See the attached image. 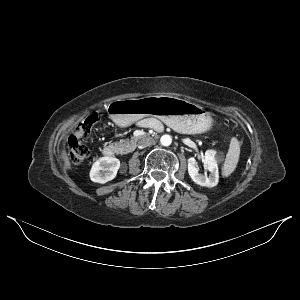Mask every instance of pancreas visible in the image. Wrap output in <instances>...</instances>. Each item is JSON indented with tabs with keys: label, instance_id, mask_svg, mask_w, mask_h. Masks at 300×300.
Segmentation results:
<instances>
[{
	"label": "pancreas",
	"instance_id": "cf45deb5",
	"mask_svg": "<svg viewBox=\"0 0 300 300\" xmlns=\"http://www.w3.org/2000/svg\"><path fill=\"white\" fill-rule=\"evenodd\" d=\"M138 137H132L131 140H120L118 143H115V145L118 147L121 154L129 153L133 150L134 144L137 142Z\"/></svg>",
	"mask_w": 300,
	"mask_h": 300
}]
</instances>
